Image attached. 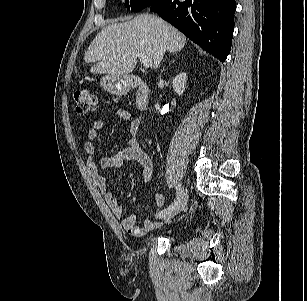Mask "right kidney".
Wrapping results in <instances>:
<instances>
[{"label": "right kidney", "mask_w": 307, "mask_h": 301, "mask_svg": "<svg viewBox=\"0 0 307 301\" xmlns=\"http://www.w3.org/2000/svg\"><path fill=\"white\" fill-rule=\"evenodd\" d=\"M187 75L184 72L179 73L173 80V90L178 95H182L185 91Z\"/></svg>", "instance_id": "ca27d5eb"}]
</instances>
